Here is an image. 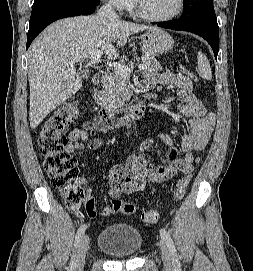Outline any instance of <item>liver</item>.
<instances>
[{
  "label": "liver",
  "mask_w": 253,
  "mask_h": 271,
  "mask_svg": "<svg viewBox=\"0 0 253 271\" xmlns=\"http://www.w3.org/2000/svg\"><path fill=\"white\" fill-rule=\"evenodd\" d=\"M150 29L155 28L109 20L98 14L61 19L48 26L28 51L30 127L35 129L50 112L81 89L76 63L96 51L116 59L130 35Z\"/></svg>",
  "instance_id": "obj_1"
}]
</instances>
